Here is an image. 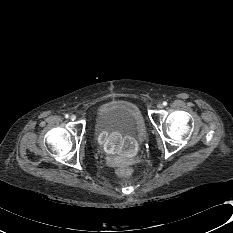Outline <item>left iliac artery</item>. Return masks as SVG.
I'll return each instance as SVG.
<instances>
[{
  "mask_svg": "<svg viewBox=\"0 0 233 233\" xmlns=\"http://www.w3.org/2000/svg\"><path fill=\"white\" fill-rule=\"evenodd\" d=\"M163 105H164V106H166V105H167V102H166V101H164V102H163Z\"/></svg>",
  "mask_w": 233,
  "mask_h": 233,
  "instance_id": "left-iliac-artery-1",
  "label": "left iliac artery"
}]
</instances>
